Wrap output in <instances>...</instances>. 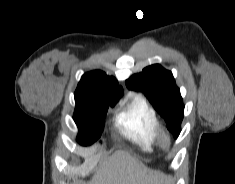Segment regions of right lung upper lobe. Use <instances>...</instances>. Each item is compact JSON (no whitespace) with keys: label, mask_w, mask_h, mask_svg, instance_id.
<instances>
[{"label":"right lung upper lobe","mask_w":235,"mask_h":184,"mask_svg":"<svg viewBox=\"0 0 235 184\" xmlns=\"http://www.w3.org/2000/svg\"><path fill=\"white\" fill-rule=\"evenodd\" d=\"M122 95L117 80L101 70L85 73L75 91V97L88 106L114 105Z\"/></svg>","instance_id":"1"}]
</instances>
